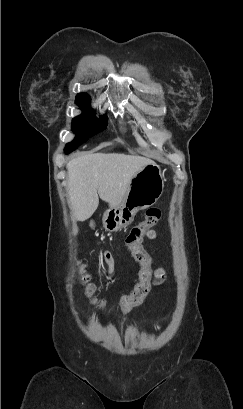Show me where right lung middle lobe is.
I'll list each match as a JSON object with an SVG mask.
<instances>
[{"label": "right lung middle lobe", "mask_w": 243, "mask_h": 409, "mask_svg": "<svg viewBox=\"0 0 243 409\" xmlns=\"http://www.w3.org/2000/svg\"><path fill=\"white\" fill-rule=\"evenodd\" d=\"M89 103L77 104L86 110ZM107 126V116H102L100 119H96L92 111L85 112L84 114L77 116L73 119L72 129L77 134L75 139L68 143L65 147V153L69 154L77 147L85 142L90 136L102 131Z\"/></svg>", "instance_id": "obj_1"}]
</instances>
